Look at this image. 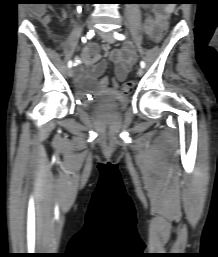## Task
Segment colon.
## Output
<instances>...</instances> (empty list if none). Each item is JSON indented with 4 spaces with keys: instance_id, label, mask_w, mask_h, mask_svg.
Listing matches in <instances>:
<instances>
[{
    "instance_id": "5ec220e1",
    "label": "colon",
    "mask_w": 218,
    "mask_h": 257,
    "mask_svg": "<svg viewBox=\"0 0 218 257\" xmlns=\"http://www.w3.org/2000/svg\"><path fill=\"white\" fill-rule=\"evenodd\" d=\"M163 24L164 26H159L158 30L155 31L154 39H157V41H159L160 39H164L165 35H167L168 33L167 31L172 30V21H164ZM97 78L99 90H117L118 81L117 79H113V74H108L107 76H104L103 74H98ZM133 85L134 84L132 81H127L123 85V91L126 93L130 92L133 88Z\"/></svg>"
}]
</instances>
